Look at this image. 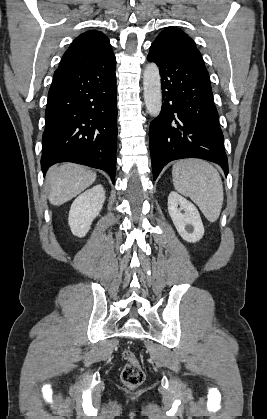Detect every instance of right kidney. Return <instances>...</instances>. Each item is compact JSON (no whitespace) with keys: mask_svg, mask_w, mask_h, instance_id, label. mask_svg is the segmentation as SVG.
Here are the masks:
<instances>
[{"mask_svg":"<svg viewBox=\"0 0 267 419\" xmlns=\"http://www.w3.org/2000/svg\"><path fill=\"white\" fill-rule=\"evenodd\" d=\"M104 201L105 191L102 185L94 186L74 200L69 211L68 224L75 236L84 237L87 234Z\"/></svg>","mask_w":267,"mask_h":419,"instance_id":"1","label":"right kidney"}]
</instances>
